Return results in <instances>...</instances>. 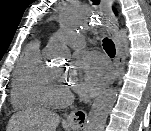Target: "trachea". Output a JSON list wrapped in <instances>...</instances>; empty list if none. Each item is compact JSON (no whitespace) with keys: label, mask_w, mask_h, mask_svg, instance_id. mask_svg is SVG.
<instances>
[{"label":"trachea","mask_w":151,"mask_h":131,"mask_svg":"<svg viewBox=\"0 0 151 131\" xmlns=\"http://www.w3.org/2000/svg\"><path fill=\"white\" fill-rule=\"evenodd\" d=\"M94 5H98L100 3V0H91ZM103 48L106 51V53L113 57L116 53L115 45L111 39L104 38L103 39Z\"/></svg>","instance_id":"obj_1"}]
</instances>
